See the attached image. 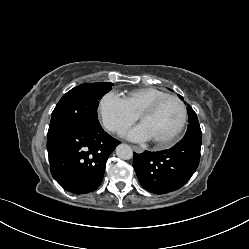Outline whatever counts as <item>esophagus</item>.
Returning <instances> with one entry per match:
<instances>
[{"label":"esophagus","mask_w":249,"mask_h":249,"mask_svg":"<svg viewBox=\"0 0 249 249\" xmlns=\"http://www.w3.org/2000/svg\"><path fill=\"white\" fill-rule=\"evenodd\" d=\"M131 147H132V149H133L136 153H142V152H143V149L140 148V147H138V146L132 145Z\"/></svg>","instance_id":"esophagus-1"}]
</instances>
